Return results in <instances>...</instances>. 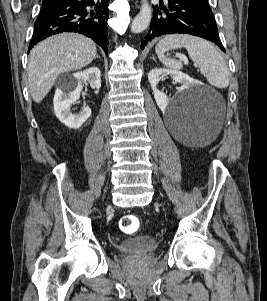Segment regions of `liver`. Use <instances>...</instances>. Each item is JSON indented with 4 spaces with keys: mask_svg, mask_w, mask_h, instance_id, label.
<instances>
[{
    "mask_svg": "<svg viewBox=\"0 0 267 301\" xmlns=\"http://www.w3.org/2000/svg\"><path fill=\"white\" fill-rule=\"evenodd\" d=\"M96 44L76 33H62L36 45L28 64V88L32 99L40 103L58 75L89 65L96 57Z\"/></svg>",
    "mask_w": 267,
    "mask_h": 301,
    "instance_id": "liver-1",
    "label": "liver"
}]
</instances>
